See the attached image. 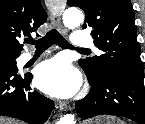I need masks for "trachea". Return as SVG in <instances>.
Listing matches in <instances>:
<instances>
[{
  "label": "trachea",
  "mask_w": 145,
  "mask_h": 124,
  "mask_svg": "<svg viewBox=\"0 0 145 124\" xmlns=\"http://www.w3.org/2000/svg\"><path fill=\"white\" fill-rule=\"evenodd\" d=\"M26 43L35 45L36 51H45L53 44L58 45L62 48H71L74 49L73 46H71L68 41L55 29L50 30L44 37L38 40L33 39H26ZM78 50L82 51H89L88 49L83 48H77Z\"/></svg>",
  "instance_id": "obj_1"
}]
</instances>
